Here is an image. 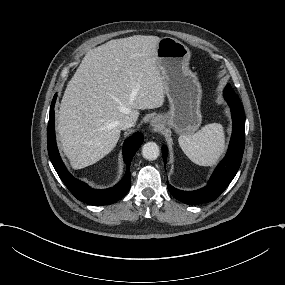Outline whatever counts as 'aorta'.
Listing matches in <instances>:
<instances>
[{
    "instance_id": "obj_1",
    "label": "aorta",
    "mask_w": 285,
    "mask_h": 285,
    "mask_svg": "<svg viewBox=\"0 0 285 285\" xmlns=\"http://www.w3.org/2000/svg\"><path fill=\"white\" fill-rule=\"evenodd\" d=\"M142 155L147 160H156L160 155L159 146L154 142H147L142 147Z\"/></svg>"
}]
</instances>
